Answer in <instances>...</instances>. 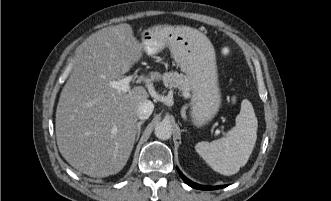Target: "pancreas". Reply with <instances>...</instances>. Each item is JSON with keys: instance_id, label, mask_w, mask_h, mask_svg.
Listing matches in <instances>:
<instances>
[{"instance_id": "obj_1", "label": "pancreas", "mask_w": 331, "mask_h": 201, "mask_svg": "<svg viewBox=\"0 0 331 201\" xmlns=\"http://www.w3.org/2000/svg\"><path fill=\"white\" fill-rule=\"evenodd\" d=\"M163 82L167 88H178L184 96L189 95L190 83L188 78L177 72H168L163 75Z\"/></svg>"}]
</instances>
